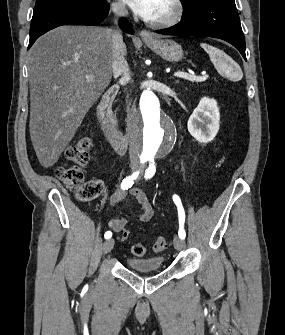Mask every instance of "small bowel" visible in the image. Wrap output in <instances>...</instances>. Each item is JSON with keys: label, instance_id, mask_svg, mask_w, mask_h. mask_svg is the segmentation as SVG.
Listing matches in <instances>:
<instances>
[{"label": "small bowel", "instance_id": "c3829d8e", "mask_svg": "<svg viewBox=\"0 0 285 335\" xmlns=\"http://www.w3.org/2000/svg\"><path fill=\"white\" fill-rule=\"evenodd\" d=\"M130 194L132 197H134L137 202L139 203V215L138 219L141 222H147L151 219L152 217V207L151 204L148 200V197L146 193L140 189V188H133L129 193L127 191H124L120 187H118L114 194L110 198V205L112 207H115L119 204H121L127 195ZM127 219L124 217H114L109 220L108 226L111 228L114 232H120L126 225Z\"/></svg>", "mask_w": 285, "mask_h": 335}]
</instances>
